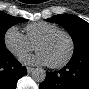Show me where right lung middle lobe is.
Listing matches in <instances>:
<instances>
[{"label": "right lung middle lobe", "instance_id": "dd1d6c3e", "mask_svg": "<svg viewBox=\"0 0 89 89\" xmlns=\"http://www.w3.org/2000/svg\"><path fill=\"white\" fill-rule=\"evenodd\" d=\"M27 19L20 18V17H13L4 12H0V52L6 51V46L4 43V35L6 31L13 25L25 22Z\"/></svg>", "mask_w": 89, "mask_h": 89}]
</instances>
